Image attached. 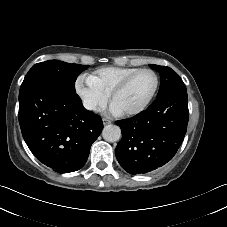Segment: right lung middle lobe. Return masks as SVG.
Instances as JSON below:
<instances>
[{
  "instance_id": "obj_1",
  "label": "right lung middle lobe",
  "mask_w": 227,
  "mask_h": 227,
  "mask_svg": "<svg viewBox=\"0 0 227 227\" xmlns=\"http://www.w3.org/2000/svg\"><path fill=\"white\" fill-rule=\"evenodd\" d=\"M89 66L70 64L59 60H49L35 64L26 74L20 91L40 81L50 82L75 92V81L78 75Z\"/></svg>"
}]
</instances>
